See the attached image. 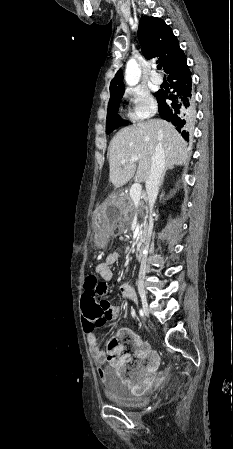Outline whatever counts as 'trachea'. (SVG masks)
<instances>
[{"label":"trachea","mask_w":233,"mask_h":449,"mask_svg":"<svg viewBox=\"0 0 233 449\" xmlns=\"http://www.w3.org/2000/svg\"><path fill=\"white\" fill-rule=\"evenodd\" d=\"M157 68H158L159 70H161V69H162V65H161V64H158Z\"/></svg>","instance_id":"trachea-1"}]
</instances>
